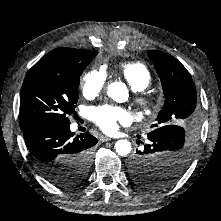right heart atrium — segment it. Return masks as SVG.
I'll return each mask as SVG.
<instances>
[{
    "mask_svg": "<svg viewBox=\"0 0 221 221\" xmlns=\"http://www.w3.org/2000/svg\"><path fill=\"white\" fill-rule=\"evenodd\" d=\"M107 82V75L103 69H91L81 79L82 93L87 98H94L101 94Z\"/></svg>",
    "mask_w": 221,
    "mask_h": 221,
    "instance_id": "obj_1",
    "label": "right heart atrium"
}]
</instances>
